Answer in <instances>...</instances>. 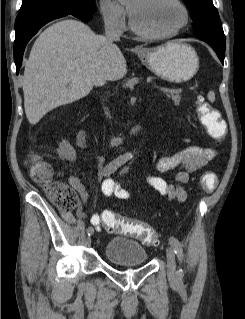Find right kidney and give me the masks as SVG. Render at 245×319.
I'll list each match as a JSON object with an SVG mask.
<instances>
[{"label":"right kidney","mask_w":245,"mask_h":319,"mask_svg":"<svg viewBox=\"0 0 245 319\" xmlns=\"http://www.w3.org/2000/svg\"><path fill=\"white\" fill-rule=\"evenodd\" d=\"M58 154L60 157L65 158L70 161H74L76 159V152L74 148L70 145V143L66 140H63L58 149Z\"/></svg>","instance_id":"right-kidney-1"}]
</instances>
